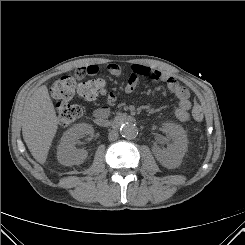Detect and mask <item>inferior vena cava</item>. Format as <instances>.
Masks as SVG:
<instances>
[{
	"label": "inferior vena cava",
	"mask_w": 245,
	"mask_h": 245,
	"mask_svg": "<svg viewBox=\"0 0 245 245\" xmlns=\"http://www.w3.org/2000/svg\"><path fill=\"white\" fill-rule=\"evenodd\" d=\"M118 132L116 130H112L109 132L108 138L110 141H114L118 138Z\"/></svg>",
	"instance_id": "inferior-vena-cava-1"
}]
</instances>
